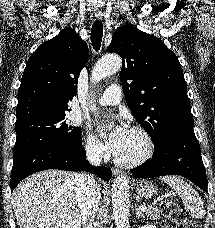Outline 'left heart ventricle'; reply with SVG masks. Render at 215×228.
<instances>
[{
    "mask_svg": "<svg viewBox=\"0 0 215 228\" xmlns=\"http://www.w3.org/2000/svg\"><path fill=\"white\" fill-rule=\"evenodd\" d=\"M144 148L142 137L133 131H131L130 139L126 149L118 156L121 159H131L139 155Z\"/></svg>",
    "mask_w": 215,
    "mask_h": 228,
    "instance_id": "obj_1",
    "label": "left heart ventricle"
}]
</instances>
